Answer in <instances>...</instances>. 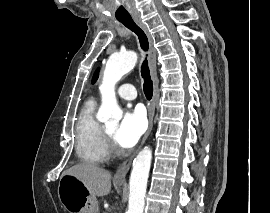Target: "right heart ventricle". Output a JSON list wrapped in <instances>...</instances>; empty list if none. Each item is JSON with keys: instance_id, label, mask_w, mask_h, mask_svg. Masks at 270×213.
<instances>
[{"instance_id": "obj_1", "label": "right heart ventricle", "mask_w": 270, "mask_h": 213, "mask_svg": "<svg viewBox=\"0 0 270 213\" xmlns=\"http://www.w3.org/2000/svg\"><path fill=\"white\" fill-rule=\"evenodd\" d=\"M96 101L88 99L83 105L76 123V153L88 163L100 164L110 153L107 148L104 127L95 118Z\"/></svg>"}]
</instances>
